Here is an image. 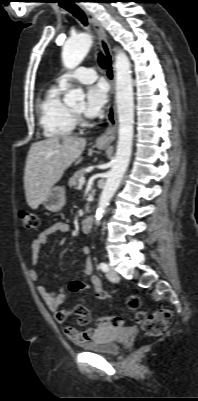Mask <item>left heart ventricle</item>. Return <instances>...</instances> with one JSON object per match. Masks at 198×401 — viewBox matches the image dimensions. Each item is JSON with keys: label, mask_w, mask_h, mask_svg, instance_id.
<instances>
[{"label": "left heart ventricle", "mask_w": 198, "mask_h": 401, "mask_svg": "<svg viewBox=\"0 0 198 401\" xmlns=\"http://www.w3.org/2000/svg\"><path fill=\"white\" fill-rule=\"evenodd\" d=\"M83 109H84L83 104H80V105H78V106L73 108V110H75L77 112H81V113L83 112Z\"/></svg>", "instance_id": "obj_1"}]
</instances>
